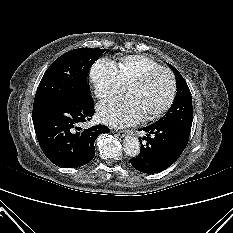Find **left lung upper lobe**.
Instances as JSON below:
<instances>
[{
	"label": "left lung upper lobe",
	"instance_id": "obj_1",
	"mask_svg": "<svg viewBox=\"0 0 233 233\" xmlns=\"http://www.w3.org/2000/svg\"><path fill=\"white\" fill-rule=\"evenodd\" d=\"M168 65L175 74L177 93L175 100L168 112L158 121L172 124L179 130L190 134L193 119L191 92L186 81L180 75L178 70L172 65Z\"/></svg>",
	"mask_w": 233,
	"mask_h": 233
}]
</instances>
